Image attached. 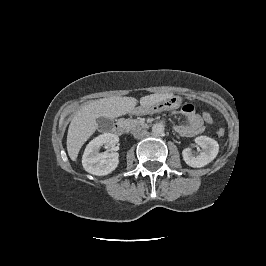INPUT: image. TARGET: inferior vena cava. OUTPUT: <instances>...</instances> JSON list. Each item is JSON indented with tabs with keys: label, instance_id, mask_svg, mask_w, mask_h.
Masks as SVG:
<instances>
[{
	"label": "inferior vena cava",
	"instance_id": "602c4592",
	"mask_svg": "<svg viewBox=\"0 0 266 266\" xmlns=\"http://www.w3.org/2000/svg\"><path fill=\"white\" fill-rule=\"evenodd\" d=\"M147 133L148 132L146 129L138 128V129L134 130L133 135H134V138L139 139V138H143L144 136H146Z\"/></svg>",
	"mask_w": 266,
	"mask_h": 266
}]
</instances>
